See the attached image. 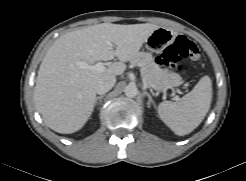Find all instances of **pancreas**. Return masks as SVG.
<instances>
[{"label": "pancreas", "mask_w": 246, "mask_h": 181, "mask_svg": "<svg viewBox=\"0 0 246 181\" xmlns=\"http://www.w3.org/2000/svg\"><path fill=\"white\" fill-rule=\"evenodd\" d=\"M131 63L141 67L144 84L155 90H162L173 82H181L178 74L161 69L150 53L139 52Z\"/></svg>", "instance_id": "1"}]
</instances>
